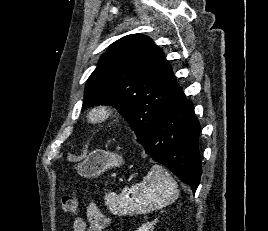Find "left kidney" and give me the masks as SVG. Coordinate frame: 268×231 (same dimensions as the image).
<instances>
[{
  "label": "left kidney",
  "instance_id": "obj_1",
  "mask_svg": "<svg viewBox=\"0 0 268 231\" xmlns=\"http://www.w3.org/2000/svg\"><path fill=\"white\" fill-rule=\"evenodd\" d=\"M157 223V219L152 222H147L139 227L136 231H153L154 225Z\"/></svg>",
  "mask_w": 268,
  "mask_h": 231
}]
</instances>
